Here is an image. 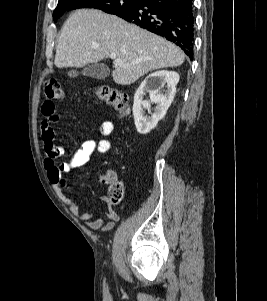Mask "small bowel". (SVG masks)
<instances>
[{"mask_svg": "<svg viewBox=\"0 0 267 301\" xmlns=\"http://www.w3.org/2000/svg\"><path fill=\"white\" fill-rule=\"evenodd\" d=\"M41 111L44 117L41 122V134L45 150L44 167L55 191L61 200L69 207L72 215L82 220L89 229L102 231L112 229L118 221L119 215L108 203V199L105 196L100 198L101 201L108 204V211L104 217L95 218L90 212H82L79 206L67 195V191H69L70 188L66 185L62 177L64 173L70 172L71 170H77L83 173L96 151L99 153H107L111 149L110 140L104 138L97 141L93 138H89L81 144L70 161L57 164L56 159L61 157L65 153V150L55 142L53 123L58 120V116L56 114L54 101L45 99ZM113 130L114 125L111 121H103L98 127V133L103 137L110 136ZM94 174L97 180L103 184H110L112 179L116 178V174L113 171H108L106 174L96 171Z\"/></svg>", "mask_w": 267, "mask_h": 301, "instance_id": "small-bowel-1", "label": "small bowel"}]
</instances>
